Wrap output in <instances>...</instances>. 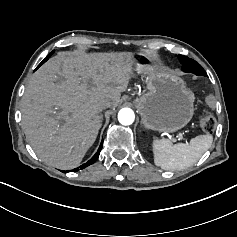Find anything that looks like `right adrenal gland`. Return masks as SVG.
I'll use <instances>...</instances> for the list:
<instances>
[{
  "label": "right adrenal gland",
  "mask_w": 237,
  "mask_h": 237,
  "mask_svg": "<svg viewBox=\"0 0 237 237\" xmlns=\"http://www.w3.org/2000/svg\"><path fill=\"white\" fill-rule=\"evenodd\" d=\"M102 119H103V116L101 115V116H100V126H101V124H102Z\"/></svg>",
  "instance_id": "right-adrenal-gland-1"
}]
</instances>
